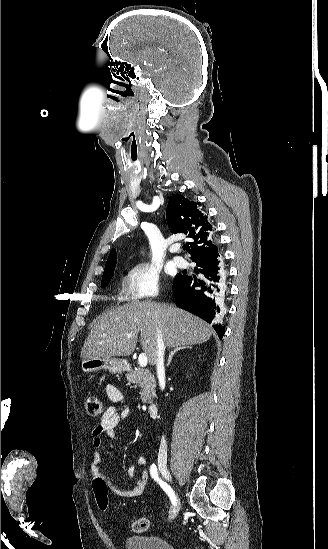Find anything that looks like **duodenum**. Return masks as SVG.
I'll return each mask as SVG.
<instances>
[{
    "mask_svg": "<svg viewBox=\"0 0 328 549\" xmlns=\"http://www.w3.org/2000/svg\"><path fill=\"white\" fill-rule=\"evenodd\" d=\"M148 413L151 417H156L158 414V405L156 403H151L148 405Z\"/></svg>",
    "mask_w": 328,
    "mask_h": 549,
    "instance_id": "duodenum-1",
    "label": "duodenum"
}]
</instances>
